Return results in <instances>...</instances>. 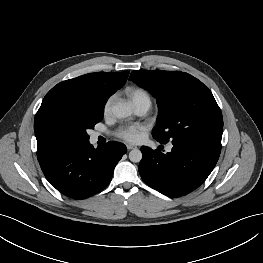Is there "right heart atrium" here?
<instances>
[{
    "label": "right heart atrium",
    "mask_w": 263,
    "mask_h": 263,
    "mask_svg": "<svg viewBox=\"0 0 263 263\" xmlns=\"http://www.w3.org/2000/svg\"><path fill=\"white\" fill-rule=\"evenodd\" d=\"M113 96H110L104 103L103 105V113L104 115H109L112 110V105H113Z\"/></svg>",
    "instance_id": "d8ad5b80"
}]
</instances>
